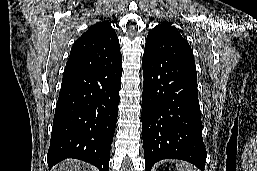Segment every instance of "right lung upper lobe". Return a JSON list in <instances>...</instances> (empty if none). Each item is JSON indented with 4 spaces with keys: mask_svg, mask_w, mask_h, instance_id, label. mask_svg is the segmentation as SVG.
<instances>
[{
    "mask_svg": "<svg viewBox=\"0 0 257 171\" xmlns=\"http://www.w3.org/2000/svg\"><path fill=\"white\" fill-rule=\"evenodd\" d=\"M121 60L116 32L110 22L102 21L91 26L75 41L64 74L98 70Z\"/></svg>",
    "mask_w": 257,
    "mask_h": 171,
    "instance_id": "1",
    "label": "right lung upper lobe"
}]
</instances>
